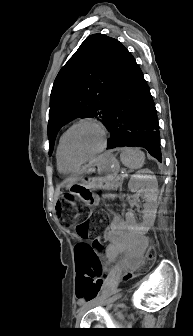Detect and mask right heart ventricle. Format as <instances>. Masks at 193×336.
I'll list each match as a JSON object with an SVG mask.
<instances>
[{"instance_id": "e07e8e85", "label": "right heart ventricle", "mask_w": 193, "mask_h": 336, "mask_svg": "<svg viewBox=\"0 0 193 336\" xmlns=\"http://www.w3.org/2000/svg\"><path fill=\"white\" fill-rule=\"evenodd\" d=\"M61 141H62V137L59 139L57 150H56V161H57L58 170L62 174L75 173L79 170V167L81 164H71L64 159L62 150H61Z\"/></svg>"}]
</instances>
